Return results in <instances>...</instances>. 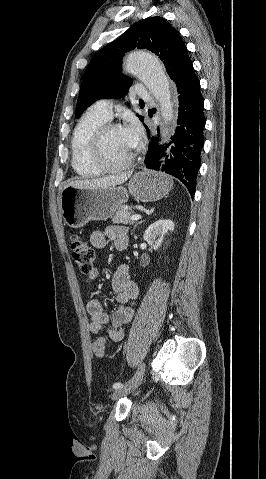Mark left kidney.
<instances>
[{"label": "left kidney", "mask_w": 266, "mask_h": 479, "mask_svg": "<svg viewBox=\"0 0 266 479\" xmlns=\"http://www.w3.org/2000/svg\"><path fill=\"white\" fill-rule=\"evenodd\" d=\"M174 230V223L171 220H158L151 224L145 231L143 238L148 243H153L157 237H160L158 241H161L163 236L168 231Z\"/></svg>", "instance_id": "1"}]
</instances>
